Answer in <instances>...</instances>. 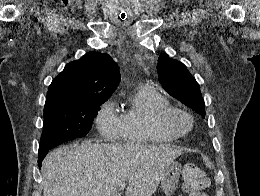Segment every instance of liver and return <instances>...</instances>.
<instances>
[{"instance_id":"1","label":"liver","mask_w":260,"mask_h":196,"mask_svg":"<svg viewBox=\"0 0 260 196\" xmlns=\"http://www.w3.org/2000/svg\"><path fill=\"white\" fill-rule=\"evenodd\" d=\"M183 154L178 146L70 144L47 154L42 164L43 196H152L166 168Z\"/></svg>"}]
</instances>
